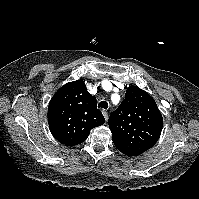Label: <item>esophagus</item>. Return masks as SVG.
I'll list each match as a JSON object with an SVG mask.
<instances>
[{"mask_svg": "<svg viewBox=\"0 0 199 199\" xmlns=\"http://www.w3.org/2000/svg\"><path fill=\"white\" fill-rule=\"evenodd\" d=\"M102 113H103V116H104L105 120L107 121L108 120V114H107V112L103 111Z\"/></svg>", "mask_w": 199, "mask_h": 199, "instance_id": "34e87169", "label": "esophagus"}]
</instances>
